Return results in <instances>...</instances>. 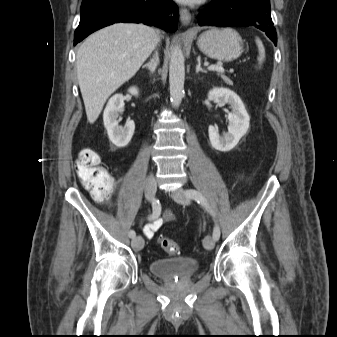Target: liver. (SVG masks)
I'll return each mask as SVG.
<instances>
[{"mask_svg":"<svg viewBox=\"0 0 337 337\" xmlns=\"http://www.w3.org/2000/svg\"><path fill=\"white\" fill-rule=\"evenodd\" d=\"M158 42L143 24L118 23L90 35L76 56L77 78L89 123H94L108 97L131 79Z\"/></svg>","mask_w":337,"mask_h":337,"instance_id":"liver-1","label":"liver"}]
</instances>
